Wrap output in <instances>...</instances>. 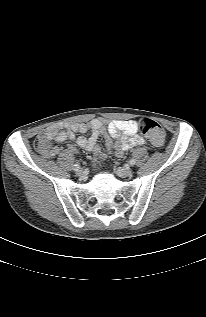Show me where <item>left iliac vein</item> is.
Returning a JSON list of instances; mask_svg holds the SVG:
<instances>
[{"label": "left iliac vein", "mask_w": 206, "mask_h": 317, "mask_svg": "<svg viewBox=\"0 0 206 317\" xmlns=\"http://www.w3.org/2000/svg\"><path fill=\"white\" fill-rule=\"evenodd\" d=\"M116 174L119 177L126 178V177H130L132 175V170L130 168L119 167L116 169Z\"/></svg>", "instance_id": "1"}]
</instances>
